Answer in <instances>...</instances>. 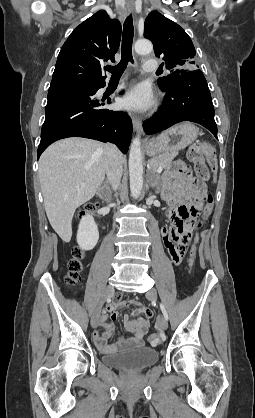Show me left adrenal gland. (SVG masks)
Here are the masks:
<instances>
[{"label":"left adrenal gland","mask_w":255,"mask_h":418,"mask_svg":"<svg viewBox=\"0 0 255 418\" xmlns=\"http://www.w3.org/2000/svg\"><path fill=\"white\" fill-rule=\"evenodd\" d=\"M148 173H152V171L150 169H148ZM149 183L151 188H155V186L157 185V181H153V179H149Z\"/></svg>","instance_id":"1"}]
</instances>
